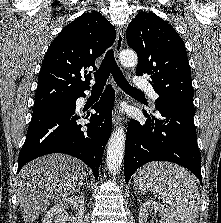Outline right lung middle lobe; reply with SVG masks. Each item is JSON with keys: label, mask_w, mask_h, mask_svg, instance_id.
<instances>
[{"label": "right lung middle lobe", "mask_w": 221, "mask_h": 223, "mask_svg": "<svg viewBox=\"0 0 221 223\" xmlns=\"http://www.w3.org/2000/svg\"><path fill=\"white\" fill-rule=\"evenodd\" d=\"M72 101H73V99H68V100H62V101H57V102L48 103V104L34 105L33 112L46 110L48 108H51V107H54V106H58V105L69 104Z\"/></svg>", "instance_id": "obj_1"}]
</instances>
